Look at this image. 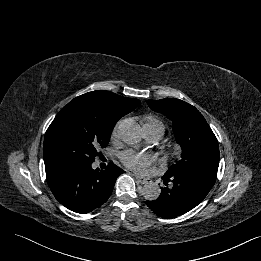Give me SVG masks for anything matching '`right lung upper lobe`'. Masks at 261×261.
Here are the masks:
<instances>
[{
	"mask_svg": "<svg viewBox=\"0 0 261 261\" xmlns=\"http://www.w3.org/2000/svg\"><path fill=\"white\" fill-rule=\"evenodd\" d=\"M76 101L89 102L101 115L116 121L133 111L140 103L136 98H125L104 90L88 92L72 100Z\"/></svg>",
	"mask_w": 261,
	"mask_h": 261,
	"instance_id": "right-lung-upper-lobe-1",
	"label": "right lung upper lobe"
}]
</instances>
